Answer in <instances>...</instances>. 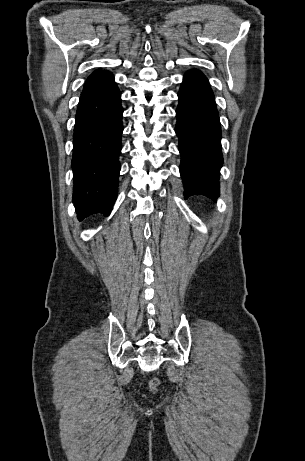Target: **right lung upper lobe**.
I'll return each instance as SVG.
<instances>
[{
	"label": "right lung upper lobe",
	"mask_w": 305,
	"mask_h": 461,
	"mask_svg": "<svg viewBox=\"0 0 305 461\" xmlns=\"http://www.w3.org/2000/svg\"><path fill=\"white\" fill-rule=\"evenodd\" d=\"M107 73H110V72H108V71H102V70H97V71H94V72L90 75V77H92V76H97V75H102V74H107Z\"/></svg>",
	"instance_id": "obj_1"
}]
</instances>
